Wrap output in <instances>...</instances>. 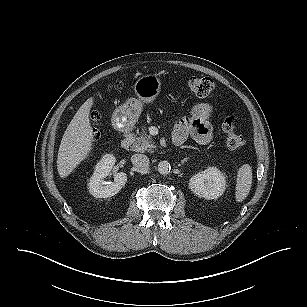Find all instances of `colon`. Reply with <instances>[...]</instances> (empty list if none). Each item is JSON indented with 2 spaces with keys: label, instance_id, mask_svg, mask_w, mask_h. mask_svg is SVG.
Instances as JSON below:
<instances>
[{
  "label": "colon",
  "instance_id": "obj_1",
  "mask_svg": "<svg viewBox=\"0 0 307 307\" xmlns=\"http://www.w3.org/2000/svg\"><path fill=\"white\" fill-rule=\"evenodd\" d=\"M186 86L190 94L200 98H211L215 94V83L209 77L190 76L186 81ZM92 120H97L92 116ZM221 129L226 137V144L231 150H240L245 145L244 136L235 128V119L231 114L224 115L222 118ZM97 132L94 134L97 137Z\"/></svg>",
  "mask_w": 307,
  "mask_h": 307
}]
</instances>
